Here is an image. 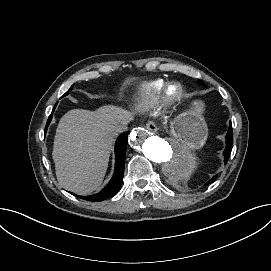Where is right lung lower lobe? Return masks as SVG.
Segmentation results:
<instances>
[{"mask_svg": "<svg viewBox=\"0 0 271 271\" xmlns=\"http://www.w3.org/2000/svg\"><path fill=\"white\" fill-rule=\"evenodd\" d=\"M56 105L53 108V111L47 121L45 127V133L47 131L48 125L52 119V115L54 112ZM127 137L128 134L126 132L122 133L116 140L115 143V173L108 183V185L99 193L89 196H78L84 200L88 201H103L113 197L120 189L122 184V179L124 175V165H125V156H126V148H127Z\"/></svg>", "mask_w": 271, "mask_h": 271, "instance_id": "1", "label": "right lung lower lobe"}]
</instances>
